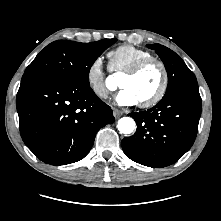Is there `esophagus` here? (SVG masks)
<instances>
[{"label":"esophagus","instance_id":"34e87169","mask_svg":"<svg viewBox=\"0 0 221 221\" xmlns=\"http://www.w3.org/2000/svg\"><path fill=\"white\" fill-rule=\"evenodd\" d=\"M113 115L116 119L120 118L123 115V112L118 110V109H114L113 110Z\"/></svg>","mask_w":221,"mask_h":221}]
</instances>
